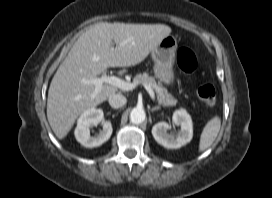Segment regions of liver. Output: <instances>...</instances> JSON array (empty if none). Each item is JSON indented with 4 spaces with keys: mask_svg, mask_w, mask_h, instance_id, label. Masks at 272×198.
I'll list each match as a JSON object with an SVG mask.
<instances>
[{
    "mask_svg": "<svg viewBox=\"0 0 272 198\" xmlns=\"http://www.w3.org/2000/svg\"><path fill=\"white\" fill-rule=\"evenodd\" d=\"M171 31L163 24L99 22L82 33L57 69L48 91L47 118L57 138L66 137L80 114L118 90L104 84L96 93L95 86L83 84L82 79L96 78L108 67L141 63Z\"/></svg>",
    "mask_w": 272,
    "mask_h": 198,
    "instance_id": "1",
    "label": "liver"
}]
</instances>
